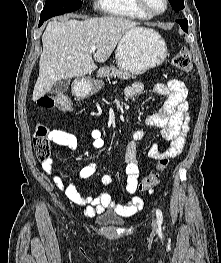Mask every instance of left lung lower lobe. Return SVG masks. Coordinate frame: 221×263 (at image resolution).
I'll use <instances>...</instances> for the list:
<instances>
[{"instance_id": "obj_1", "label": "left lung lower lobe", "mask_w": 221, "mask_h": 263, "mask_svg": "<svg viewBox=\"0 0 221 263\" xmlns=\"http://www.w3.org/2000/svg\"><path fill=\"white\" fill-rule=\"evenodd\" d=\"M176 22L181 26V28H182L185 32H188V22H187V19L176 20Z\"/></svg>"}]
</instances>
